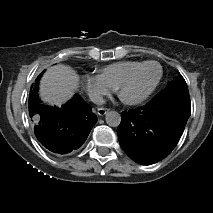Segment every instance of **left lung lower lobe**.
Here are the masks:
<instances>
[{
	"mask_svg": "<svg viewBox=\"0 0 213 213\" xmlns=\"http://www.w3.org/2000/svg\"><path fill=\"white\" fill-rule=\"evenodd\" d=\"M190 113L188 89L166 87L145 106L122 113L119 143L134 161L156 163L174 149Z\"/></svg>",
	"mask_w": 213,
	"mask_h": 213,
	"instance_id": "1",
	"label": "left lung lower lobe"
}]
</instances>
